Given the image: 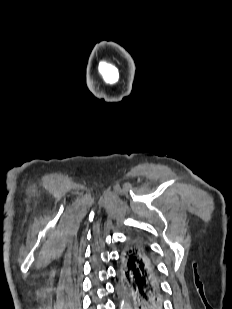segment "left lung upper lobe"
I'll return each mask as SVG.
<instances>
[{
	"instance_id": "left-lung-upper-lobe-1",
	"label": "left lung upper lobe",
	"mask_w": 232,
	"mask_h": 309,
	"mask_svg": "<svg viewBox=\"0 0 232 309\" xmlns=\"http://www.w3.org/2000/svg\"><path fill=\"white\" fill-rule=\"evenodd\" d=\"M135 238L138 240L139 244H140L142 247H145V248L149 251V248H148L147 244H146L142 239L137 238V237H135ZM149 253H150V251H149ZM123 292L125 293V296H126L128 302H129V304L133 307L134 303H133V300H132L131 297H130L129 292H128V291H123Z\"/></svg>"
}]
</instances>
